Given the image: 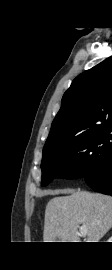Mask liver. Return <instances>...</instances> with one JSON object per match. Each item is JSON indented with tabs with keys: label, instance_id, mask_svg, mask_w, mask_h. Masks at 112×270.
Returning a JSON list of instances; mask_svg holds the SVG:
<instances>
[{
	"label": "liver",
	"instance_id": "6515ba94",
	"mask_svg": "<svg viewBox=\"0 0 112 270\" xmlns=\"http://www.w3.org/2000/svg\"><path fill=\"white\" fill-rule=\"evenodd\" d=\"M45 209L43 242H80V225H86V242L99 240L112 228V197L86 191L58 190ZM63 240V241H55Z\"/></svg>",
	"mask_w": 112,
	"mask_h": 270
}]
</instances>
